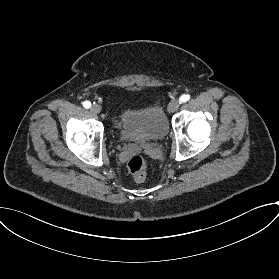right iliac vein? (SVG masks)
<instances>
[{
  "mask_svg": "<svg viewBox=\"0 0 279 279\" xmlns=\"http://www.w3.org/2000/svg\"><path fill=\"white\" fill-rule=\"evenodd\" d=\"M90 112L92 114H99L101 112V107L98 105V104H93L91 107H90Z\"/></svg>",
  "mask_w": 279,
  "mask_h": 279,
  "instance_id": "obj_1",
  "label": "right iliac vein"
}]
</instances>
